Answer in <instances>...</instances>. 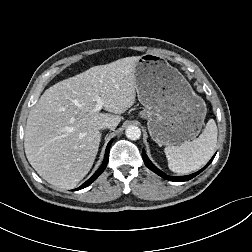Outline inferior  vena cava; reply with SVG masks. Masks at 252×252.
<instances>
[{
	"label": "inferior vena cava",
	"instance_id": "1",
	"mask_svg": "<svg viewBox=\"0 0 252 252\" xmlns=\"http://www.w3.org/2000/svg\"><path fill=\"white\" fill-rule=\"evenodd\" d=\"M104 128H110V129H113L114 128V125L110 122H102L100 125H99V129H104Z\"/></svg>",
	"mask_w": 252,
	"mask_h": 252
}]
</instances>
